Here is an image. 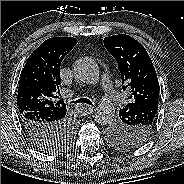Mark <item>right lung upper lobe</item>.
Listing matches in <instances>:
<instances>
[{
  "label": "right lung upper lobe",
  "instance_id": "right-lung-upper-lobe-1",
  "mask_svg": "<svg viewBox=\"0 0 184 184\" xmlns=\"http://www.w3.org/2000/svg\"><path fill=\"white\" fill-rule=\"evenodd\" d=\"M77 44L71 37L44 41L27 59L21 72L17 104L19 113L40 112L48 117L66 115V105L55 100L60 94V66L65 55Z\"/></svg>",
  "mask_w": 184,
  "mask_h": 184
}]
</instances>
